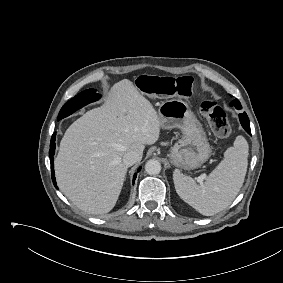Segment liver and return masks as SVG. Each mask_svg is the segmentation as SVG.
<instances>
[{"label":"liver","mask_w":283,"mask_h":283,"mask_svg":"<svg viewBox=\"0 0 283 283\" xmlns=\"http://www.w3.org/2000/svg\"><path fill=\"white\" fill-rule=\"evenodd\" d=\"M160 119L128 79L115 83L103 106L86 112L66 130L55 158L57 183L78 208L108 213L120 195L129 151L142 159L145 145L158 141Z\"/></svg>","instance_id":"liver-1"}]
</instances>
